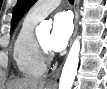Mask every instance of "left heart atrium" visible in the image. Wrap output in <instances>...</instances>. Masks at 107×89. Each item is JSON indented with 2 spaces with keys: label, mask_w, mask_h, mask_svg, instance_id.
<instances>
[{
  "label": "left heart atrium",
  "mask_w": 107,
  "mask_h": 89,
  "mask_svg": "<svg viewBox=\"0 0 107 89\" xmlns=\"http://www.w3.org/2000/svg\"><path fill=\"white\" fill-rule=\"evenodd\" d=\"M72 30V20L68 13L61 12L55 15L48 43L50 49L55 52L64 50L68 44Z\"/></svg>",
  "instance_id": "1"
}]
</instances>
